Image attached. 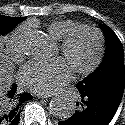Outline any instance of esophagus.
<instances>
[{"mask_svg":"<svg viewBox=\"0 0 125 125\" xmlns=\"http://www.w3.org/2000/svg\"><path fill=\"white\" fill-rule=\"evenodd\" d=\"M36 96L39 97V98H42V99L51 97V95H47V94H36Z\"/></svg>","mask_w":125,"mask_h":125,"instance_id":"esophagus-1","label":"esophagus"}]
</instances>
